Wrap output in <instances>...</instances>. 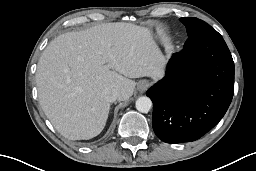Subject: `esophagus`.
Wrapping results in <instances>:
<instances>
[{"label":"esophagus","mask_w":256,"mask_h":171,"mask_svg":"<svg viewBox=\"0 0 256 171\" xmlns=\"http://www.w3.org/2000/svg\"><path fill=\"white\" fill-rule=\"evenodd\" d=\"M149 87V83L147 81H142L138 84V89L141 91L146 90Z\"/></svg>","instance_id":"obj_1"}]
</instances>
